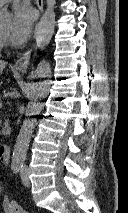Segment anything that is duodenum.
Segmentation results:
<instances>
[{
	"mask_svg": "<svg viewBox=\"0 0 128 213\" xmlns=\"http://www.w3.org/2000/svg\"><path fill=\"white\" fill-rule=\"evenodd\" d=\"M11 148L8 145H0V160L3 163H8L10 160Z\"/></svg>",
	"mask_w": 128,
	"mask_h": 213,
	"instance_id": "410a0bca",
	"label": "duodenum"
}]
</instances>
